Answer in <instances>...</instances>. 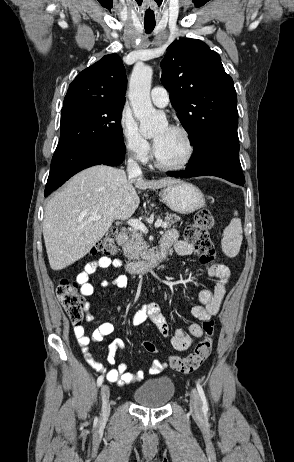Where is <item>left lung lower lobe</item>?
Returning a JSON list of instances; mask_svg holds the SVG:
<instances>
[{"label":"left lung lower lobe","instance_id":"1","mask_svg":"<svg viewBox=\"0 0 294 462\" xmlns=\"http://www.w3.org/2000/svg\"><path fill=\"white\" fill-rule=\"evenodd\" d=\"M238 121H229L213 131L210 137L194 145L196 154L183 171L169 172L175 177L217 176L243 186L245 178L238 158Z\"/></svg>","mask_w":294,"mask_h":462}]
</instances>
